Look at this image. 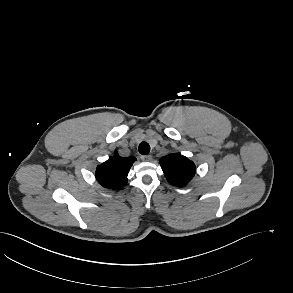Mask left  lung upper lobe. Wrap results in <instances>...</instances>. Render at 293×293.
I'll return each instance as SVG.
<instances>
[{"instance_id": "left-lung-upper-lobe-1", "label": "left lung upper lobe", "mask_w": 293, "mask_h": 293, "mask_svg": "<svg viewBox=\"0 0 293 293\" xmlns=\"http://www.w3.org/2000/svg\"><path fill=\"white\" fill-rule=\"evenodd\" d=\"M161 168L174 186H185L195 175V164L181 154H168L160 159Z\"/></svg>"}]
</instances>
